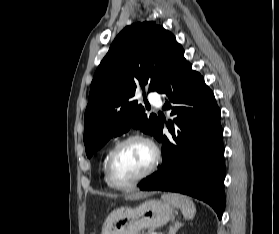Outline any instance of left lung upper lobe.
I'll return each instance as SVG.
<instances>
[{"label": "left lung upper lobe", "instance_id": "1", "mask_svg": "<svg viewBox=\"0 0 279 234\" xmlns=\"http://www.w3.org/2000/svg\"><path fill=\"white\" fill-rule=\"evenodd\" d=\"M181 48L171 32L153 21L134 23L117 35L90 87L84 117L88 158L130 127L156 136L159 119L147 116L132 97L138 86L149 84V91H156Z\"/></svg>", "mask_w": 279, "mask_h": 234}]
</instances>
